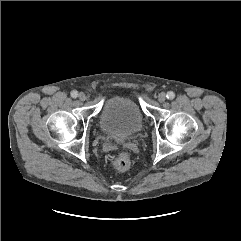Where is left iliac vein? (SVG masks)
I'll use <instances>...</instances> for the list:
<instances>
[{"instance_id":"4c4485c4","label":"left iliac vein","mask_w":241,"mask_h":241,"mask_svg":"<svg viewBox=\"0 0 241 241\" xmlns=\"http://www.w3.org/2000/svg\"><path fill=\"white\" fill-rule=\"evenodd\" d=\"M166 100V94L164 92H161L159 95H158V101L159 102H164Z\"/></svg>"}]
</instances>
